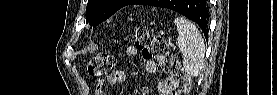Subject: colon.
<instances>
[{
  "instance_id": "colon-1",
  "label": "colon",
  "mask_w": 277,
  "mask_h": 95,
  "mask_svg": "<svg viewBox=\"0 0 277 95\" xmlns=\"http://www.w3.org/2000/svg\"><path fill=\"white\" fill-rule=\"evenodd\" d=\"M135 47L142 51L146 58L155 59L160 64V69L178 77H185L181 63L170 52L168 44L160 36H157L147 27H138L135 30ZM115 65V58L107 53H99L93 56L88 63L90 76L98 78L111 72ZM191 81L187 80L185 86L178 94H188Z\"/></svg>"
}]
</instances>
